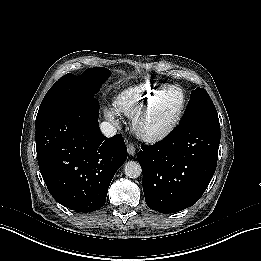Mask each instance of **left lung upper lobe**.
Returning <instances> with one entry per match:
<instances>
[{"mask_svg": "<svg viewBox=\"0 0 261 261\" xmlns=\"http://www.w3.org/2000/svg\"><path fill=\"white\" fill-rule=\"evenodd\" d=\"M201 118L218 119V114L207 91L197 88L191 92L190 100L179 124Z\"/></svg>", "mask_w": 261, "mask_h": 261, "instance_id": "5c2ea615", "label": "left lung upper lobe"}]
</instances>
